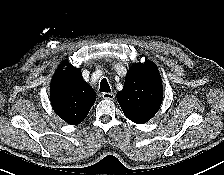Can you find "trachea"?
I'll list each match as a JSON object with an SVG mask.
<instances>
[{"label": "trachea", "mask_w": 224, "mask_h": 175, "mask_svg": "<svg viewBox=\"0 0 224 175\" xmlns=\"http://www.w3.org/2000/svg\"><path fill=\"white\" fill-rule=\"evenodd\" d=\"M100 91L105 93H109L111 91L110 86L105 78H103L100 82Z\"/></svg>", "instance_id": "3493384b"}]
</instances>
